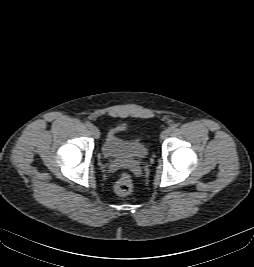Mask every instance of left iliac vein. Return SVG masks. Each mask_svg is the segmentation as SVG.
<instances>
[{"instance_id":"left-iliac-vein-1","label":"left iliac vein","mask_w":254,"mask_h":267,"mask_svg":"<svg viewBox=\"0 0 254 267\" xmlns=\"http://www.w3.org/2000/svg\"><path fill=\"white\" fill-rule=\"evenodd\" d=\"M171 131L172 130L170 128H167L164 131H162L161 136H160L161 139L167 138L170 135Z\"/></svg>"}]
</instances>
